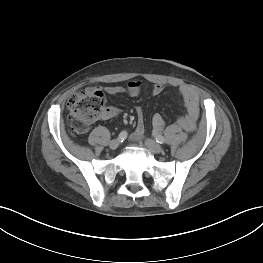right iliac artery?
I'll return each mask as SVG.
<instances>
[{"label": "right iliac artery", "instance_id": "82829eb1", "mask_svg": "<svg viewBox=\"0 0 263 263\" xmlns=\"http://www.w3.org/2000/svg\"><path fill=\"white\" fill-rule=\"evenodd\" d=\"M127 138V132L126 131H122L119 136L118 139L122 142Z\"/></svg>", "mask_w": 263, "mask_h": 263}]
</instances>
